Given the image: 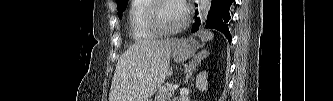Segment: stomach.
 Wrapping results in <instances>:
<instances>
[{
	"mask_svg": "<svg viewBox=\"0 0 333 101\" xmlns=\"http://www.w3.org/2000/svg\"><path fill=\"white\" fill-rule=\"evenodd\" d=\"M199 43L193 38L176 40L171 44L172 57L176 63L184 62L195 55Z\"/></svg>",
	"mask_w": 333,
	"mask_h": 101,
	"instance_id": "0dacf381",
	"label": "stomach"
}]
</instances>
